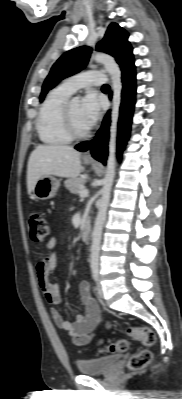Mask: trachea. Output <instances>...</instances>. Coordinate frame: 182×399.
Instances as JSON below:
<instances>
[{
  "label": "trachea",
  "instance_id": "3493384b",
  "mask_svg": "<svg viewBox=\"0 0 182 399\" xmlns=\"http://www.w3.org/2000/svg\"><path fill=\"white\" fill-rule=\"evenodd\" d=\"M103 89H109V86L107 84L102 86Z\"/></svg>",
  "mask_w": 182,
  "mask_h": 399
}]
</instances>
